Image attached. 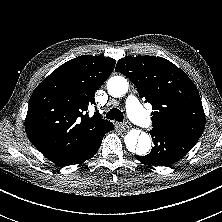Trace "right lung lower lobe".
Returning a JSON list of instances; mask_svg holds the SVG:
<instances>
[{"label": "right lung lower lobe", "instance_id": "98d812e1", "mask_svg": "<svg viewBox=\"0 0 222 222\" xmlns=\"http://www.w3.org/2000/svg\"><path fill=\"white\" fill-rule=\"evenodd\" d=\"M114 129L113 124L108 125L94 140L84 149L64 158L53 160V162L61 167L71 164H81L87 159L93 157L98 151L104 134Z\"/></svg>", "mask_w": 222, "mask_h": 222}]
</instances>
